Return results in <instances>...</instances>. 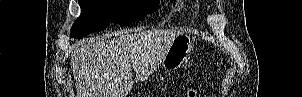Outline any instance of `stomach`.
Wrapping results in <instances>:
<instances>
[{"label":"stomach","mask_w":302,"mask_h":97,"mask_svg":"<svg viewBox=\"0 0 302 97\" xmlns=\"http://www.w3.org/2000/svg\"><path fill=\"white\" fill-rule=\"evenodd\" d=\"M192 48L193 43L188 35L176 36L161 61L163 69L167 72L178 69L187 60Z\"/></svg>","instance_id":"stomach-1"}]
</instances>
